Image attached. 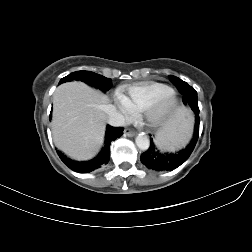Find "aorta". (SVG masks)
I'll return each instance as SVG.
<instances>
[{"instance_id":"762f6f07","label":"aorta","mask_w":252,"mask_h":252,"mask_svg":"<svg viewBox=\"0 0 252 252\" xmlns=\"http://www.w3.org/2000/svg\"><path fill=\"white\" fill-rule=\"evenodd\" d=\"M136 145L140 150H147L150 145L149 138L144 134H139L135 139Z\"/></svg>"}]
</instances>
